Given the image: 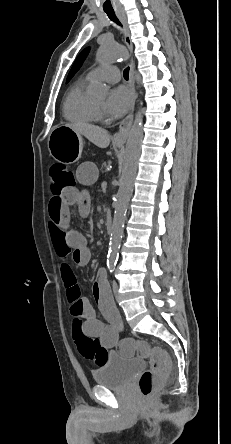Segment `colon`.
I'll list each match as a JSON object with an SVG mask.
<instances>
[{"mask_svg":"<svg viewBox=\"0 0 231 444\" xmlns=\"http://www.w3.org/2000/svg\"><path fill=\"white\" fill-rule=\"evenodd\" d=\"M51 198L58 199L67 188L74 186L72 172L63 164H53L49 170ZM83 320L74 317L72 335L79 354L85 359L101 366L107 359L108 351L99 341L87 336L82 330ZM122 347L135 352L138 356L149 360L150 367L139 377L138 387L142 396L151 395L160 387L170 370V360L167 353L159 348L152 347L143 340L127 338Z\"/></svg>","mask_w":231,"mask_h":444,"instance_id":"1","label":"colon"}]
</instances>
